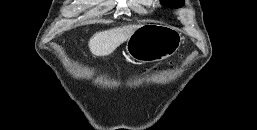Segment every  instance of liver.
Wrapping results in <instances>:
<instances>
[{
    "label": "liver",
    "instance_id": "1",
    "mask_svg": "<svg viewBox=\"0 0 257 130\" xmlns=\"http://www.w3.org/2000/svg\"><path fill=\"white\" fill-rule=\"evenodd\" d=\"M138 26L128 25L97 32L89 40V48L95 56H107L128 40Z\"/></svg>",
    "mask_w": 257,
    "mask_h": 130
}]
</instances>
